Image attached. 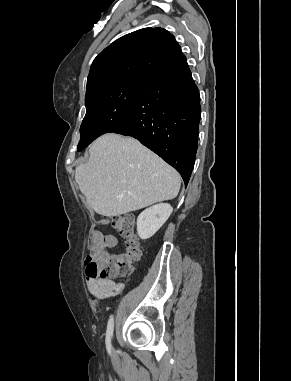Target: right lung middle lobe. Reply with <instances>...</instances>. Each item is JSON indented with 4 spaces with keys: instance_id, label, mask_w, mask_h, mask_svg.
<instances>
[{
    "instance_id": "right-lung-middle-lobe-1",
    "label": "right lung middle lobe",
    "mask_w": 291,
    "mask_h": 381,
    "mask_svg": "<svg viewBox=\"0 0 291 381\" xmlns=\"http://www.w3.org/2000/svg\"><path fill=\"white\" fill-rule=\"evenodd\" d=\"M142 83L143 80L126 81L85 98L87 112L80 127L81 138L77 151L128 121Z\"/></svg>"
}]
</instances>
